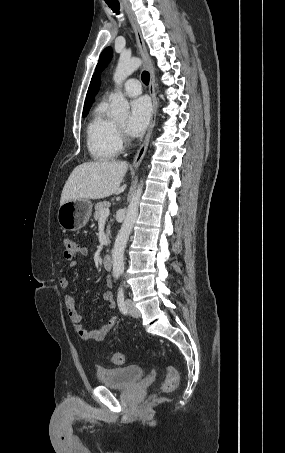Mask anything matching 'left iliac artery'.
Masks as SVG:
<instances>
[{"mask_svg":"<svg viewBox=\"0 0 285 453\" xmlns=\"http://www.w3.org/2000/svg\"><path fill=\"white\" fill-rule=\"evenodd\" d=\"M117 304H118V307H119L120 311L123 314H127V308H126V305L124 303V290H123L122 286L119 288V291H118V294H117Z\"/></svg>","mask_w":285,"mask_h":453,"instance_id":"left-iliac-artery-1","label":"left iliac artery"}]
</instances>
